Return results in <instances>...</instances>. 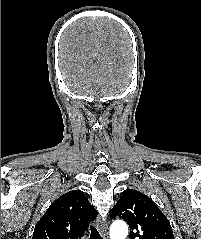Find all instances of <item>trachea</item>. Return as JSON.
<instances>
[{
  "label": "trachea",
  "mask_w": 201,
  "mask_h": 239,
  "mask_svg": "<svg viewBox=\"0 0 201 239\" xmlns=\"http://www.w3.org/2000/svg\"><path fill=\"white\" fill-rule=\"evenodd\" d=\"M90 239H102V237L100 236L99 231L97 230V228L93 225H91L90 227Z\"/></svg>",
  "instance_id": "3493384b"
}]
</instances>
